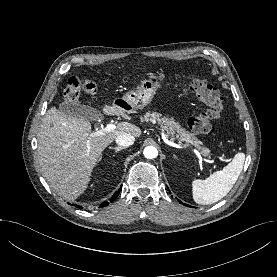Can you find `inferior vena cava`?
Here are the masks:
<instances>
[{
	"instance_id": "obj_1",
	"label": "inferior vena cava",
	"mask_w": 277,
	"mask_h": 277,
	"mask_svg": "<svg viewBox=\"0 0 277 277\" xmlns=\"http://www.w3.org/2000/svg\"><path fill=\"white\" fill-rule=\"evenodd\" d=\"M115 141L119 146L129 147L134 143L135 138L131 134L124 133V134L117 136Z\"/></svg>"
}]
</instances>
